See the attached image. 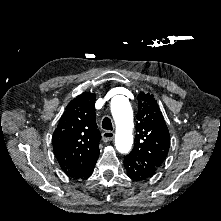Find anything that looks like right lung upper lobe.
Returning a JSON list of instances; mask_svg holds the SVG:
<instances>
[{
  "label": "right lung upper lobe",
  "mask_w": 221,
  "mask_h": 221,
  "mask_svg": "<svg viewBox=\"0 0 221 221\" xmlns=\"http://www.w3.org/2000/svg\"><path fill=\"white\" fill-rule=\"evenodd\" d=\"M95 100L90 92L73 99L52 137L59 165L73 179L80 177L99 156L101 134L96 125Z\"/></svg>",
  "instance_id": "1"
}]
</instances>
